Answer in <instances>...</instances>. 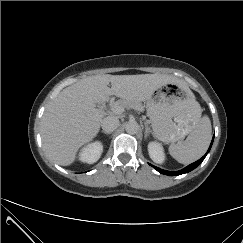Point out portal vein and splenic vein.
I'll use <instances>...</instances> for the list:
<instances>
[{
  "mask_svg": "<svg viewBox=\"0 0 243 243\" xmlns=\"http://www.w3.org/2000/svg\"><path fill=\"white\" fill-rule=\"evenodd\" d=\"M111 110L115 114H122L124 112V107H122L120 105H114V106H112Z\"/></svg>",
  "mask_w": 243,
  "mask_h": 243,
  "instance_id": "portal-vein-and-splenic-vein-1",
  "label": "portal vein and splenic vein"
}]
</instances>
